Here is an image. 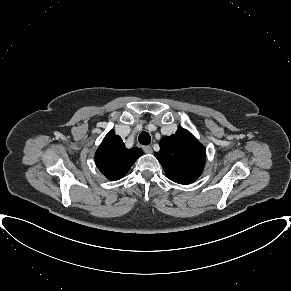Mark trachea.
I'll return each instance as SVG.
<instances>
[{"label":"trachea","mask_w":291,"mask_h":291,"mask_svg":"<svg viewBox=\"0 0 291 291\" xmlns=\"http://www.w3.org/2000/svg\"><path fill=\"white\" fill-rule=\"evenodd\" d=\"M138 140L142 145H149L151 142V137H150L149 133L142 132V133H140Z\"/></svg>","instance_id":"trachea-1"}]
</instances>
